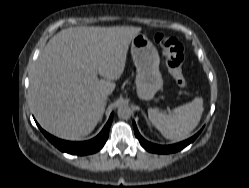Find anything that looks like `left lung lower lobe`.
Instances as JSON below:
<instances>
[{"instance_id": "0a47b994", "label": "left lung lower lobe", "mask_w": 249, "mask_h": 188, "mask_svg": "<svg viewBox=\"0 0 249 188\" xmlns=\"http://www.w3.org/2000/svg\"><path fill=\"white\" fill-rule=\"evenodd\" d=\"M133 127H134L135 136L138 138V140L143 148H145L149 152L162 153V154L173 153V152H177V151L182 150L187 145H189L191 142H193L200 133V132H198L195 136H193L192 138H190L186 141H183V142H180V143H177L174 145L162 146V145H157V144H153V143L146 141L140 135L134 121H133Z\"/></svg>"}]
</instances>
